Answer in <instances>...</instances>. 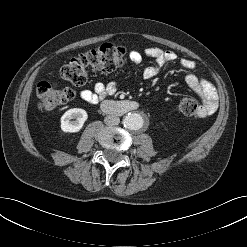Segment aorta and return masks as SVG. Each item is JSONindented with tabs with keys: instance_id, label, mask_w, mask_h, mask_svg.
<instances>
[{
	"instance_id": "aorta-1",
	"label": "aorta",
	"mask_w": 247,
	"mask_h": 247,
	"mask_svg": "<svg viewBox=\"0 0 247 247\" xmlns=\"http://www.w3.org/2000/svg\"><path fill=\"white\" fill-rule=\"evenodd\" d=\"M123 124L130 130H139L144 125V118L139 113H129L124 117Z\"/></svg>"
}]
</instances>
